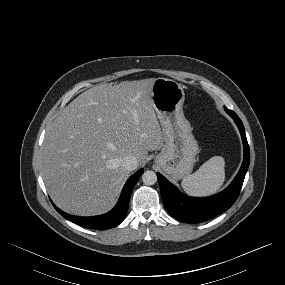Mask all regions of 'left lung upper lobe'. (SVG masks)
<instances>
[{
  "mask_svg": "<svg viewBox=\"0 0 285 285\" xmlns=\"http://www.w3.org/2000/svg\"><path fill=\"white\" fill-rule=\"evenodd\" d=\"M225 111L227 112V111H231V110H229V109L225 108ZM231 112H233V111H231Z\"/></svg>",
  "mask_w": 285,
  "mask_h": 285,
  "instance_id": "1",
  "label": "left lung upper lobe"
}]
</instances>
